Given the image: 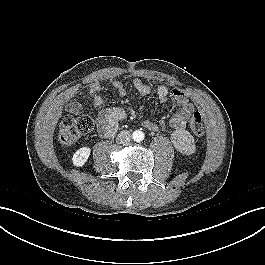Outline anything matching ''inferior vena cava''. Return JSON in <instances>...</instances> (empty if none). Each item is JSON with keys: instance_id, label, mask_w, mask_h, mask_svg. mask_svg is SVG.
<instances>
[{"instance_id": "inferior-vena-cava-1", "label": "inferior vena cava", "mask_w": 265, "mask_h": 265, "mask_svg": "<svg viewBox=\"0 0 265 265\" xmlns=\"http://www.w3.org/2000/svg\"><path fill=\"white\" fill-rule=\"evenodd\" d=\"M131 133L128 131V130H123L121 131L117 138H116V142L118 144H123V143H127V142H130L131 140Z\"/></svg>"}]
</instances>
